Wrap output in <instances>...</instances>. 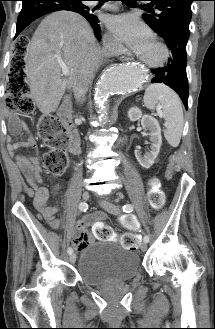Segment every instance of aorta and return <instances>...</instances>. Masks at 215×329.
<instances>
[{
    "label": "aorta",
    "instance_id": "obj_1",
    "mask_svg": "<svg viewBox=\"0 0 215 329\" xmlns=\"http://www.w3.org/2000/svg\"><path fill=\"white\" fill-rule=\"evenodd\" d=\"M146 74L136 64H113L98 78L94 99L100 117L106 119V104L109 98L117 93H130L138 90L144 83Z\"/></svg>",
    "mask_w": 215,
    "mask_h": 329
}]
</instances>
